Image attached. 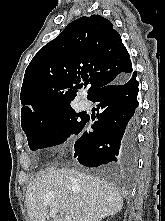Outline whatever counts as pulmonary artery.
Here are the masks:
<instances>
[{
  "label": "pulmonary artery",
  "mask_w": 165,
  "mask_h": 221,
  "mask_svg": "<svg viewBox=\"0 0 165 221\" xmlns=\"http://www.w3.org/2000/svg\"><path fill=\"white\" fill-rule=\"evenodd\" d=\"M80 107H81L82 109L88 108V107H89V102L86 101V100H82V101L80 102Z\"/></svg>",
  "instance_id": "pulmonary-artery-1"
}]
</instances>
